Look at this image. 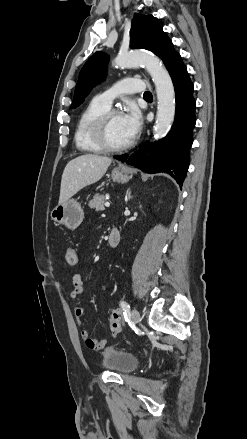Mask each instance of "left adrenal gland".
<instances>
[{
	"mask_svg": "<svg viewBox=\"0 0 247 439\" xmlns=\"http://www.w3.org/2000/svg\"><path fill=\"white\" fill-rule=\"evenodd\" d=\"M126 198H127L128 200L132 199V196H131V190H130V189L127 190Z\"/></svg>",
	"mask_w": 247,
	"mask_h": 439,
	"instance_id": "a2214340",
	"label": "left adrenal gland"
}]
</instances>
